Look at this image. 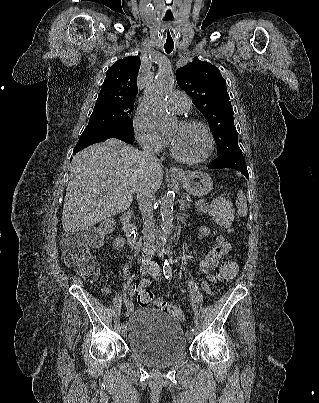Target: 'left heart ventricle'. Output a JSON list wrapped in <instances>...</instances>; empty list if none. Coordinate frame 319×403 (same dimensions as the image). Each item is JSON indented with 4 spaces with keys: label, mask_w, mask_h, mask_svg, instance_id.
Segmentation results:
<instances>
[{
    "label": "left heart ventricle",
    "mask_w": 319,
    "mask_h": 403,
    "mask_svg": "<svg viewBox=\"0 0 319 403\" xmlns=\"http://www.w3.org/2000/svg\"><path fill=\"white\" fill-rule=\"evenodd\" d=\"M166 135L177 153L185 158L198 159L207 151L208 138L199 126H185L176 121L168 128Z\"/></svg>",
    "instance_id": "1"
}]
</instances>
